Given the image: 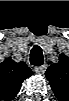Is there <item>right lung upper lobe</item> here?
Here are the masks:
<instances>
[{"label":"right lung upper lobe","mask_w":69,"mask_h":101,"mask_svg":"<svg viewBox=\"0 0 69 101\" xmlns=\"http://www.w3.org/2000/svg\"><path fill=\"white\" fill-rule=\"evenodd\" d=\"M32 75L24 62L16 63L7 58L0 64V90L5 98L13 99L21 89L22 82Z\"/></svg>","instance_id":"right-lung-upper-lobe-1"}]
</instances>
